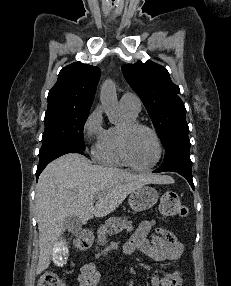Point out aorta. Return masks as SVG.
<instances>
[{
    "instance_id": "obj_1",
    "label": "aorta",
    "mask_w": 231,
    "mask_h": 286,
    "mask_svg": "<svg viewBox=\"0 0 231 286\" xmlns=\"http://www.w3.org/2000/svg\"><path fill=\"white\" fill-rule=\"evenodd\" d=\"M100 101L111 124H118L121 112L118 105L115 84L112 80H106L100 90Z\"/></svg>"
}]
</instances>
